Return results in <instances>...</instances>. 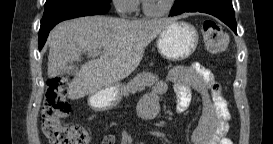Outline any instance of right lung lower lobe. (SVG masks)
I'll list each match as a JSON object with an SVG mask.
<instances>
[{"label": "right lung lower lobe", "mask_w": 273, "mask_h": 144, "mask_svg": "<svg viewBox=\"0 0 273 144\" xmlns=\"http://www.w3.org/2000/svg\"><path fill=\"white\" fill-rule=\"evenodd\" d=\"M110 4L98 0H69L57 2L44 11L39 30V49L47 40L50 30L59 22L82 16L102 15L108 12Z\"/></svg>", "instance_id": "obj_1"}]
</instances>
